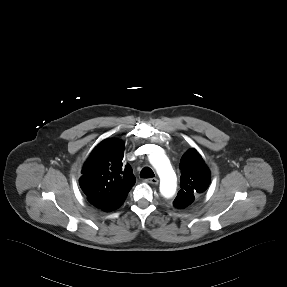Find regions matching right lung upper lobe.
<instances>
[{"label":"right lung upper lobe","instance_id":"right-lung-upper-lobe-1","mask_svg":"<svg viewBox=\"0 0 287 287\" xmlns=\"http://www.w3.org/2000/svg\"><path fill=\"white\" fill-rule=\"evenodd\" d=\"M122 141L105 139L84 163L80 187L88 200L113 201L127 196L136 182L132 168L123 163Z\"/></svg>","mask_w":287,"mask_h":287}]
</instances>
